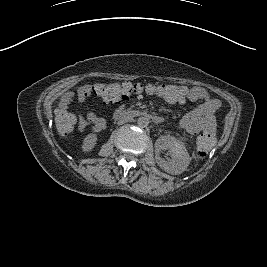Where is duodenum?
Masks as SVG:
<instances>
[{"label":"duodenum","mask_w":267,"mask_h":267,"mask_svg":"<svg viewBox=\"0 0 267 267\" xmlns=\"http://www.w3.org/2000/svg\"><path fill=\"white\" fill-rule=\"evenodd\" d=\"M139 117L148 118L151 122L155 124H160L163 121L161 116L153 115L140 109H133V110L118 109L114 113L115 119L117 118H139Z\"/></svg>","instance_id":"410a0bca"}]
</instances>
